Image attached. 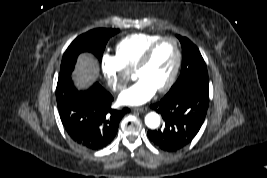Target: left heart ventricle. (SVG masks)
Masks as SVG:
<instances>
[{
  "instance_id": "1",
  "label": "left heart ventricle",
  "mask_w": 267,
  "mask_h": 178,
  "mask_svg": "<svg viewBox=\"0 0 267 178\" xmlns=\"http://www.w3.org/2000/svg\"><path fill=\"white\" fill-rule=\"evenodd\" d=\"M176 60V50L172 41H164L156 49L151 61L135 73L136 78L148 80L156 89L166 83Z\"/></svg>"
}]
</instances>
